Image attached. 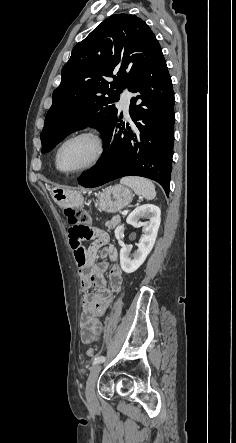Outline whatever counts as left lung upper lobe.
Returning a JSON list of instances; mask_svg holds the SVG:
<instances>
[{"label": "left lung upper lobe", "mask_w": 236, "mask_h": 443, "mask_svg": "<svg viewBox=\"0 0 236 443\" xmlns=\"http://www.w3.org/2000/svg\"><path fill=\"white\" fill-rule=\"evenodd\" d=\"M157 43L149 26L128 14L112 15L77 43L53 92L40 134L42 153L88 126L104 135L119 116L111 103L133 84Z\"/></svg>", "instance_id": "left-lung-upper-lobe-1"}]
</instances>
